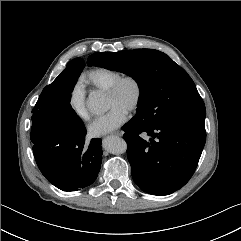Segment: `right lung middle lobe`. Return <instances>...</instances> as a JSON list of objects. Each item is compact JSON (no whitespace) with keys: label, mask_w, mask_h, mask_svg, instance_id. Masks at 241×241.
<instances>
[{"label":"right lung middle lobe","mask_w":241,"mask_h":241,"mask_svg":"<svg viewBox=\"0 0 241 241\" xmlns=\"http://www.w3.org/2000/svg\"><path fill=\"white\" fill-rule=\"evenodd\" d=\"M83 68L84 61L74 59L52 84L43 89L32 110L31 132L52 136L58 132L72 137V134H79L86 129L70 105L71 93Z\"/></svg>","instance_id":"dd1d6c3e"}]
</instances>
